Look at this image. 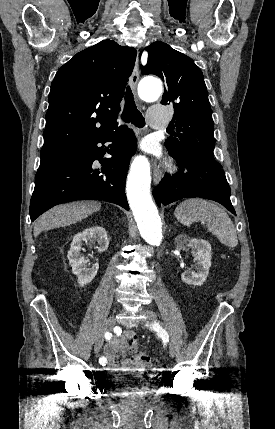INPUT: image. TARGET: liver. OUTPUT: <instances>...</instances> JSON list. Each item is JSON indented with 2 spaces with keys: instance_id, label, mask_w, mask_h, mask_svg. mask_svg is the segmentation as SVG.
<instances>
[{
  "instance_id": "liver-1",
  "label": "liver",
  "mask_w": 275,
  "mask_h": 429,
  "mask_svg": "<svg viewBox=\"0 0 275 429\" xmlns=\"http://www.w3.org/2000/svg\"><path fill=\"white\" fill-rule=\"evenodd\" d=\"M100 208L101 204L98 202H74L55 206L35 221L34 236L37 237L45 230L74 224L97 212Z\"/></svg>"
}]
</instances>
